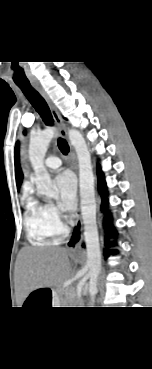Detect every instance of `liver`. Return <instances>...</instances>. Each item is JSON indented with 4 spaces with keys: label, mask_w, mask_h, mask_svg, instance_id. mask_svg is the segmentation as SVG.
Here are the masks:
<instances>
[{
    "label": "liver",
    "mask_w": 152,
    "mask_h": 369,
    "mask_svg": "<svg viewBox=\"0 0 152 369\" xmlns=\"http://www.w3.org/2000/svg\"><path fill=\"white\" fill-rule=\"evenodd\" d=\"M19 261L18 278L25 293L60 285L71 274L69 255L62 248L25 247Z\"/></svg>",
    "instance_id": "obj_1"
}]
</instances>
